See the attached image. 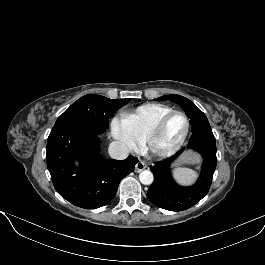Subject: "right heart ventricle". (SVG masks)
I'll use <instances>...</instances> for the list:
<instances>
[{"label": "right heart ventricle", "mask_w": 265, "mask_h": 265, "mask_svg": "<svg viewBox=\"0 0 265 265\" xmlns=\"http://www.w3.org/2000/svg\"><path fill=\"white\" fill-rule=\"evenodd\" d=\"M171 110V107L164 104L146 103L124 112L122 119L133 135L142 140L156 121Z\"/></svg>", "instance_id": "1"}]
</instances>
